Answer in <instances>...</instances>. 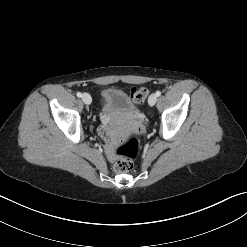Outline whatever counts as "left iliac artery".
I'll return each mask as SVG.
<instances>
[{"mask_svg": "<svg viewBox=\"0 0 247 247\" xmlns=\"http://www.w3.org/2000/svg\"><path fill=\"white\" fill-rule=\"evenodd\" d=\"M161 95V91H156V96L159 97Z\"/></svg>", "mask_w": 247, "mask_h": 247, "instance_id": "44dca946", "label": "left iliac artery"}]
</instances>
